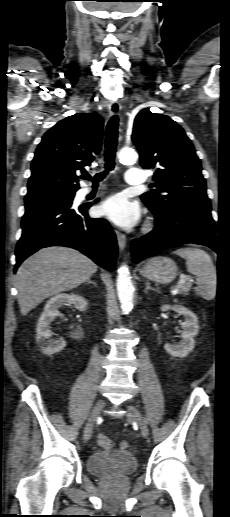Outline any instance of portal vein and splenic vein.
<instances>
[{
	"label": "portal vein and splenic vein",
	"instance_id": "1",
	"mask_svg": "<svg viewBox=\"0 0 230 517\" xmlns=\"http://www.w3.org/2000/svg\"><path fill=\"white\" fill-rule=\"evenodd\" d=\"M187 281H188V282H193V279H192L191 277H187V276H185V275H181V276H180V279H179V281H178V283H177V286H176V291H177L179 288L183 287V286L186 284V282H187Z\"/></svg>",
	"mask_w": 230,
	"mask_h": 517
}]
</instances>
